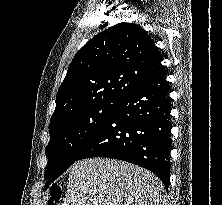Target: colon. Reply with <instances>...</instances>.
<instances>
[{
  "label": "colon",
  "mask_w": 222,
  "mask_h": 205,
  "mask_svg": "<svg viewBox=\"0 0 222 205\" xmlns=\"http://www.w3.org/2000/svg\"><path fill=\"white\" fill-rule=\"evenodd\" d=\"M62 196V189L60 186H55L52 189L51 195L46 202V205H58Z\"/></svg>",
  "instance_id": "colon-1"
}]
</instances>
